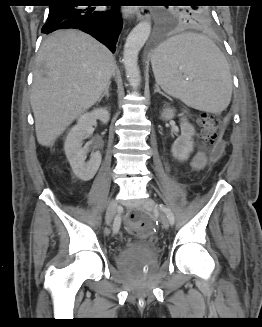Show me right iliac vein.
Returning a JSON list of instances; mask_svg holds the SVG:
<instances>
[{"mask_svg": "<svg viewBox=\"0 0 262 327\" xmlns=\"http://www.w3.org/2000/svg\"><path fill=\"white\" fill-rule=\"evenodd\" d=\"M117 211V202L116 200H111L108 204L107 210H106V223L110 224L115 216V213Z\"/></svg>", "mask_w": 262, "mask_h": 327, "instance_id": "obj_1", "label": "right iliac vein"}]
</instances>
